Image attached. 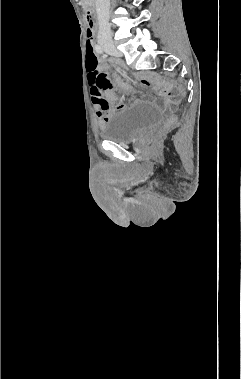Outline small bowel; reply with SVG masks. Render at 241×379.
Returning a JSON list of instances; mask_svg holds the SVG:
<instances>
[{
  "mask_svg": "<svg viewBox=\"0 0 241 379\" xmlns=\"http://www.w3.org/2000/svg\"><path fill=\"white\" fill-rule=\"evenodd\" d=\"M91 33V41H92V27L89 28ZM100 72V71H99ZM104 76L107 77V75L103 72ZM108 78V77H107ZM109 80V78H108ZM140 83L144 87H148L150 85V81L145 78H140ZM110 81V80H109ZM114 81L122 88H127L128 86L119 78L115 77ZM90 83V82H89ZM162 88L165 89V95H167L166 100L169 104H176L177 100L174 98L173 93L171 92L170 88L168 86L163 85ZM111 86L106 88L104 91H106V97L103 96V100H101L95 93L94 89H91L92 91V100L95 106V111L97 117L100 119L101 122H105L109 118V104L115 101V97L111 92ZM124 105H119L117 109H123Z\"/></svg>",
  "mask_w": 241,
  "mask_h": 379,
  "instance_id": "small-bowel-1",
  "label": "small bowel"
}]
</instances>
